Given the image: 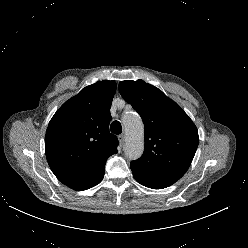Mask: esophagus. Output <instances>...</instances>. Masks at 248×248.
I'll return each mask as SVG.
<instances>
[{
	"instance_id": "34e87169",
	"label": "esophagus",
	"mask_w": 248,
	"mask_h": 248,
	"mask_svg": "<svg viewBox=\"0 0 248 248\" xmlns=\"http://www.w3.org/2000/svg\"><path fill=\"white\" fill-rule=\"evenodd\" d=\"M118 140L120 142L121 145H124L125 142V136L123 134L118 136Z\"/></svg>"
}]
</instances>
